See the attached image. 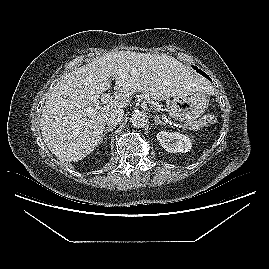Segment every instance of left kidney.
Returning <instances> with one entry per match:
<instances>
[{"instance_id":"1","label":"left kidney","mask_w":269,"mask_h":269,"mask_svg":"<svg viewBox=\"0 0 269 269\" xmlns=\"http://www.w3.org/2000/svg\"><path fill=\"white\" fill-rule=\"evenodd\" d=\"M157 140L170 153H185L191 149V140L188 136L178 132L161 131L157 133Z\"/></svg>"}]
</instances>
